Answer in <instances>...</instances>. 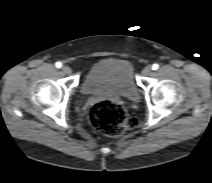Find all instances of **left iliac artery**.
Listing matches in <instances>:
<instances>
[{
    "mask_svg": "<svg viewBox=\"0 0 212 183\" xmlns=\"http://www.w3.org/2000/svg\"><path fill=\"white\" fill-rule=\"evenodd\" d=\"M159 68V65L158 64H153L152 65V70H157Z\"/></svg>",
    "mask_w": 212,
    "mask_h": 183,
    "instance_id": "44dca946",
    "label": "left iliac artery"
}]
</instances>
